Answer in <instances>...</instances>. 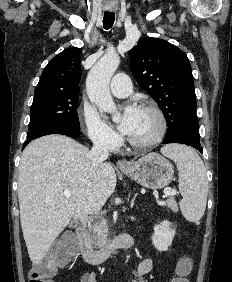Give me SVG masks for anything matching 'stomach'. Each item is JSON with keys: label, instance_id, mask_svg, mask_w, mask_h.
I'll return each instance as SVG.
<instances>
[{"label": "stomach", "instance_id": "1", "mask_svg": "<svg viewBox=\"0 0 232 282\" xmlns=\"http://www.w3.org/2000/svg\"><path fill=\"white\" fill-rule=\"evenodd\" d=\"M122 172L140 185L150 189H161L173 179V165L158 153H149L133 162Z\"/></svg>", "mask_w": 232, "mask_h": 282}]
</instances>
